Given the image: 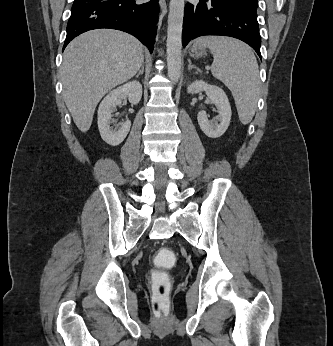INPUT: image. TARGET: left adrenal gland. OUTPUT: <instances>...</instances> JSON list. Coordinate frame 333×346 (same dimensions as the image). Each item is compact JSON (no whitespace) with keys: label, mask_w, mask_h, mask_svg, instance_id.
<instances>
[{"label":"left adrenal gland","mask_w":333,"mask_h":346,"mask_svg":"<svg viewBox=\"0 0 333 346\" xmlns=\"http://www.w3.org/2000/svg\"><path fill=\"white\" fill-rule=\"evenodd\" d=\"M188 69L189 70H191V69H196L197 71H199L200 72V69L198 68V67H196L195 65H192V62H191V60L190 59H188Z\"/></svg>","instance_id":"obj_1"}]
</instances>
